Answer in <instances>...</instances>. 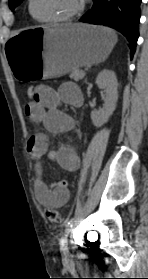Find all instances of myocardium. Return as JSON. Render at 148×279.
Returning <instances> with one entry per match:
<instances>
[{"label":"myocardium","mask_w":148,"mask_h":279,"mask_svg":"<svg viewBox=\"0 0 148 279\" xmlns=\"http://www.w3.org/2000/svg\"><path fill=\"white\" fill-rule=\"evenodd\" d=\"M85 7L84 0H77L76 7L69 13L59 17L41 18L37 16L33 10V0H29L28 10L30 15L37 21L42 23H64L76 19L83 12Z\"/></svg>","instance_id":"f54148a6"}]
</instances>
